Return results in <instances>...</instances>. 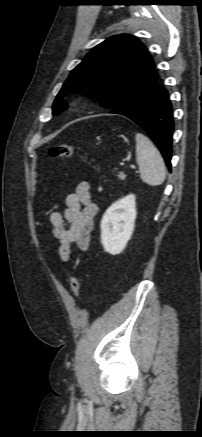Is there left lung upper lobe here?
Listing matches in <instances>:
<instances>
[{
    "label": "left lung upper lobe",
    "mask_w": 202,
    "mask_h": 437,
    "mask_svg": "<svg viewBox=\"0 0 202 437\" xmlns=\"http://www.w3.org/2000/svg\"><path fill=\"white\" fill-rule=\"evenodd\" d=\"M156 80L154 61L146 47L134 36H113L93 48L72 70L53 103V114L68 107L63 96L76 92L113 109Z\"/></svg>",
    "instance_id": "1"
}]
</instances>
